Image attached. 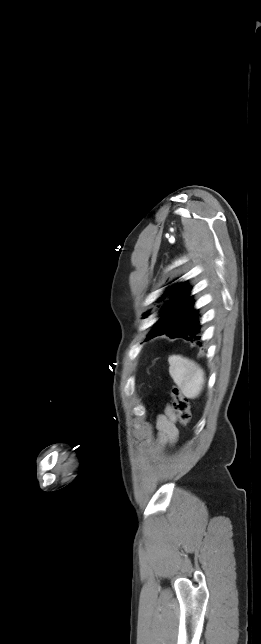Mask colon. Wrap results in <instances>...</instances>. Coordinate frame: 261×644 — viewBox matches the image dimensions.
Masks as SVG:
<instances>
[{
	"label": "colon",
	"mask_w": 261,
	"mask_h": 644,
	"mask_svg": "<svg viewBox=\"0 0 261 644\" xmlns=\"http://www.w3.org/2000/svg\"><path fill=\"white\" fill-rule=\"evenodd\" d=\"M171 395L173 398V407L177 413L180 423L187 425L191 419V406L189 399L176 386L172 388Z\"/></svg>",
	"instance_id": "1"
}]
</instances>
